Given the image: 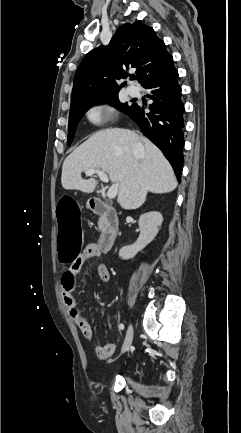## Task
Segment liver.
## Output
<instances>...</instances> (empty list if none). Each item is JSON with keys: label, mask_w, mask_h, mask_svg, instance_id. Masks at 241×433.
Here are the masks:
<instances>
[{"label": "liver", "mask_w": 241, "mask_h": 433, "mask_svg": "<svg viewBox=\"0 0 241 433\" xmlns=\"http://www.w3.org/2000/svg\"><path fill=\"white\" fill-rule=\"evenodd\" d=\"M141 142L143 148L134 151ZM99 169L118 185L117 201L122 208H139L148 192L169 193L177 187L174 171L163 153L148 139L128 129L98 131L77 147L64 161L61 183L66 190L92 193L98 182L81 173Z\"/></svg>", "instance_id": "6515ba94"}]
</instances>
